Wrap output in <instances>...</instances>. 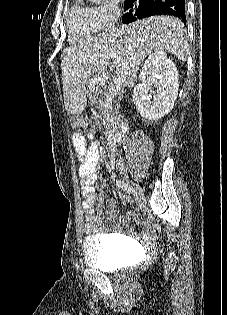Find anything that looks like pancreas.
Here are the masks:
<instances>
[{
    "label": "pancreas",
    "instance_id": "1",
    "mask_svg": "<svg viewBox=\"0 0 227 315\" xmlns=\"http://www.w3.org/2000/svg\"><path fill=\"white\" fill-rule=\"evenodd\" d=\"M91 87L93 88V92L98 93L97 84H91ZM112 101H113L112 95L109 93H105L104 96L102 97V100L99 103V108L101 110L100 118L106 128H109L114 120Z\"/></svg>",
    "mask_w": 227,
    "mask_h": 315
}]
</instances>
